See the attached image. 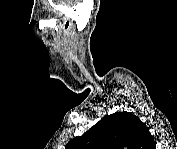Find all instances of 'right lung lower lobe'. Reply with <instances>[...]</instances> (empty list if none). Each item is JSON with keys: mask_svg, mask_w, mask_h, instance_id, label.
Here are the masks:
<instances>
[{"mask_svg": "<svg viewBox=\"0 0 177 149\" xmlns=\"http://www.w3.org/2000/svg\"><path fill=\"white\" fill-rule=\"evenodd\" d=\"M146 137H147V140H148L149 142H150L151 140L153 141L152 147L154 148L155 142H154L153 137L151 136V134L149 133V135H147Z\"/></svg>", "mask_w": 177, "mask_h": 149, "instance_id": "right-lung-lower-lobe-1", "label": "right lung lower lobe"}]
</instances>
